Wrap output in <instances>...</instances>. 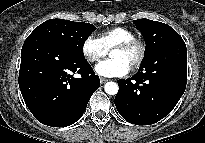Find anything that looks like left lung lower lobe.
Wrapping results in <instances>:
<instances>
[{"label":"left lung lower lobe","instance_id":"left-lung-lower-lobe-1","mask_svg":"<svg viewBox=\"0 0 205 143\" xmlns=\"http://www.w3.org/2000/svg\"><path fill=\"white\" fill-rule=\"evenodd\" d=\"M155 57L167 60L118 81L115 106L132 124L150 125L160 121L173 110L185 91L187 49L183 39L169 41L155 52Z\"/></svg>","mask_w":205,"mask_h":143}]
</instances>
